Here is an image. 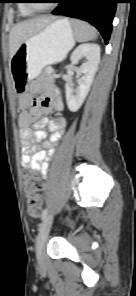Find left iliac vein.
Wrapping results in <instances>:
<instances>
[{"mask_svg": "<svg viewBox=\"0 0 136 296\" xmlns=\"http://www.w3.org/2000/svg\"><path fill=\"white\" fill-rule=\"evenodd\" d=\"M52 223L53 214H49L41 224L40 232L37 238L36 256L41 268L44 267V249Z\"/></svg>", "mask_w": 136, "mask_h": 296, "instance_id": "obj_1", "label": "left iliac vein"}]
</instances>
